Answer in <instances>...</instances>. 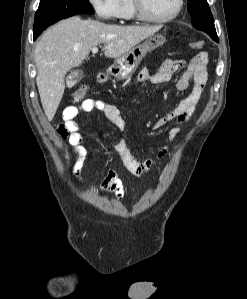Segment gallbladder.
I'll return each mask as SVG.
<instances>
[{"label":"gallbladder","instance_id":"gallbladder-1","mask_svg":"<svg viewBox=\"0 0 247 299\" xmlns=\"http://www.w3.org/2000/svg\"><path fill=\"white\" fill-rule=\"evenodd\" d=\"M82 77V71L77 70L71 72L69 76L66 78L67 86L73 87Z\"/></svg>","mask_w":247,"mask_h":299}]
</instances>
